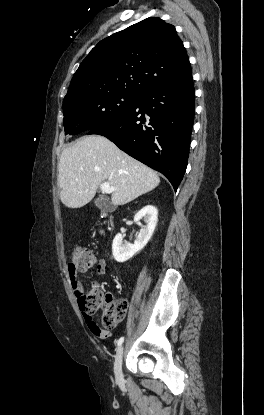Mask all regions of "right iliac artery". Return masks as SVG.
Listing matches in <instances>:
<instances>
[{"label": "right iliac artery", "mask_w": 264, "mask_h": 415, "mask_svg": "<svg viewBox=\"0 0 264 415\" xmlns=\"http://www.w3.org/2000/svg\"><path fill=\"white\" fill-rule=\"evenodd\" d=\"M123 341H124V337H120L119 339H118V341H117V346L119 347V346H121V344L123 343Z\"/></svg>", "instance_id": "82829eb1"}]
</instances>
